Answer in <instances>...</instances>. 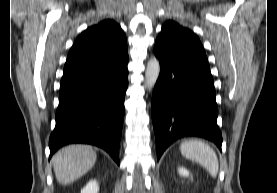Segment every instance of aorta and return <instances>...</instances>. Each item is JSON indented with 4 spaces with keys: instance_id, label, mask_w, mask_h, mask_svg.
Masks as SVG:
<instances>
[{
    "instance_id": "762f6f07",
    "label": "aorta",
    "mask_w": 277,
    "mask_h": 193,
    "mask_svg": "<svg viewBox=\"0 0 277 193\" xmlns=\"http://www.w3.org/2000/svg\"><path fill=\"white\" fill-rule=\"evenodd\" d=\"M160 74V63L157 58L153 57L148 61L145 71V86L151 89Z\"/></svg>"
}]
</instances>
